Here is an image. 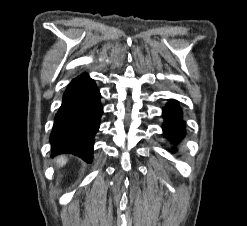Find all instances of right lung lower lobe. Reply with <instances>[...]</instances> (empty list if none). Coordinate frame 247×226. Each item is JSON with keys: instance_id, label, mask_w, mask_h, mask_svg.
<instances>
[{"instance_id": "right-lung-lower-lobe-1", "label": "right lung lower lobe", "mask_w": 247, "mask_h": 226, "mask_svg": "<svg viewBox=\"0 0 247 226\" xmlns=\"http://www.w3.org/2000/svg\"><path fill=\"white\" fill-rule=\"evenodd\" d=\"M102 112L100 92L94 80L86 73L73 79L54 119L50 135L52 154L72 153L91 162L93 138Z\"/></svg>"}]
</instances>
